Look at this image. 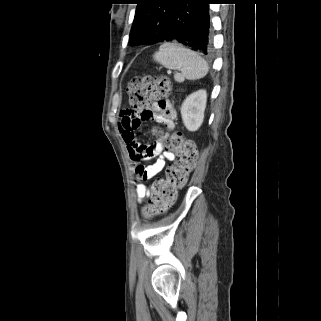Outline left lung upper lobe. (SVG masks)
<instances>
[{"label": "left lung upper lobe", "instance_id": "1", "mask_svg": "<svg viewBox=\"0 0 321 321\" xmlns=\"http://www.w3.org/2000/svg\"><path fill=\"white\" fill-rule=\"evenodd\" d=\"M137 8L129 44H155L163 39L166 24L177 0H136Z\"/></svg>", "mask_w": 321, "mask_h": 321}]
</instances>
